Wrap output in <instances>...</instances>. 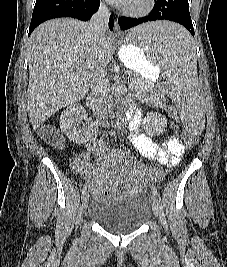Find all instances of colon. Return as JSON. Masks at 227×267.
<instances>
[{
	"label": "colon",
	"mask_w": 227,
	"mask_h": 267,
	"mask_svg": "<svg viewBox=\"0 0 227 267\" xmlns=\"http://www.w3.org/2000/svg\"><path fill=\"white\" fill-rule=\"evenodd\" d=\"M166 113L171 116L172 120H175V125H182V120L180 119L179 111H177L178 105L177 104H166ZM183 134L185 136L184 140V149L186 152L195 153L197 152V147H199L200 140L196 139L194 136L189 135L188 130H184ZM40 138L52 145V146H61L62 145V138L59 133L50 128H44L40 131Z\"/></svg>",
	"instance_id": "obj_1"
}]
</instances>
